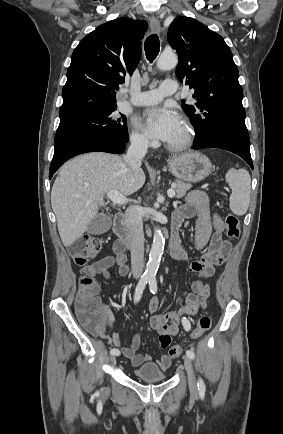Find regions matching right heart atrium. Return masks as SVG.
<instances>
[{
  "instance_id": "d8ad5b80",
  "label": "right heart atrium",
  "mask_w": 283,
  "mask_h": 434,
  "mask_svg": "<svg viewBox=\"0 0 283 434\" xmlns=\"http://www.w3.org/2000/svg\"><path fill=\"white\" fill-rule=\"evenodd\" d=\"M131 143L138 148H146L150 145L149 139L137 128H133L130 134Z\"/></svg>"
}]
</instances>
